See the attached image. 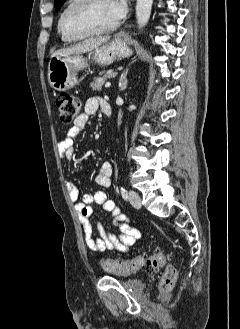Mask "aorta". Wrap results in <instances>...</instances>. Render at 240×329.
Instances as JSON below:
<instances>
[{
  "label": "aorta",
  "mask_w": 240,
  "mask_h": 329,
  "mask_svg": "<svg viewBox=\"0 0 240 329\" xmlns=\"http://www.w3.org/2000/svg\"><path fill=\"white\" fill-rule=\"evenodd\" d=\"M153 0H137L136 18L140 28L144 27L150 18Z\"/></svg>",
  "instance_id": "1"
}]
</instances>
